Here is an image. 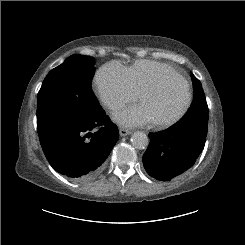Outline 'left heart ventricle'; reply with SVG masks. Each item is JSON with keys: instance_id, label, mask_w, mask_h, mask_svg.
Segmentation results:
<instances>
[{"instance_id": "b2bd125f", "label": "left heart ventricle", "mask_w": 245, "mask_h": 245, "mask_svg": "<svg viewBox=\"0 0 245 245\" xmlns=\"http://www.w3.org/2000/svg\"><path fill=\"white\" fill-rule=\"evenodd\" d=\"M187 101V90L174 75L163 78L158 91L147 94L140 103L147 109L152 121H163L178 114Z\"/></svg>"}]
</instances>
